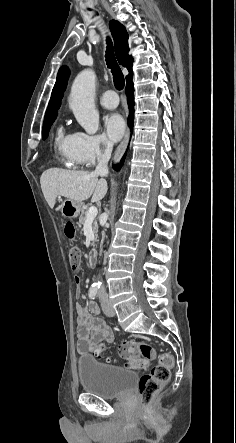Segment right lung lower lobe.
I'll return each mask as SVG.
<instances>
[{
    "label": "right lung lower lobe",
    "mask_w": 236,
    "mask_h": 443,
    "mask_svg": "<svg viewBox=\"0 0 236 443\" xmlns=\"http://www.w3.org/2000/svg\"><path fill=\"white\" fill-rule=\"evenodd\" d=\"M132 78H133V72L130 73L127 77H126V92H127V96H128V104H129V109H130V114L128 117V124L129 127L131 129L132 132V128H133V120H134V88H133V82H132ZM125 159V155L121 160V163L123 164V161ZM120 168V165L117 166V169Z\"/></svg>",
    "instance_id": "1"
}]
</instances>
